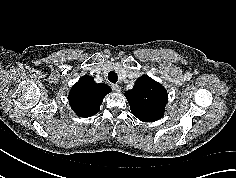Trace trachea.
Listing matches in <instances>:
<instances>
[{"label": "trachea", "instance_id": "obj_1", "mask_svg": "<svg viewBox=\"0 0 236 178\" xmlns=\"http://www.w3.org/2000/svg\"><path fill=\"white\" fill-rule=\"evenodd\" d=\"M108 80L112 83H116L117 82V74L113 71H110L108 73Z\"/></svg>", "mask_w": 236, "mask_h": 178}]
</instances>
